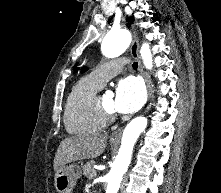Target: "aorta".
<instances>
[{"label":"aorta","instance_id":"1","mask_svg":"<svg viewBox=\"0 0 221 193\" xmlns=\"http://www.w3.org/2000/svg\"><path fill=\"white\" fill-rule=\"evenodd\" d=\"M130 42L131 35L129 31L125 29L110 31L103 39L102 52L106 57H117L129 47ZM140 54L144 66L151 69L152 54L147 43L141 46ZM146 127L147 119L141 116L134 118L124 129L118 155L107 174L106 193H118L123 176L131 162L133 147Z\"/></svg>","mask_w":221,"mask_h":193}]
</instances>
